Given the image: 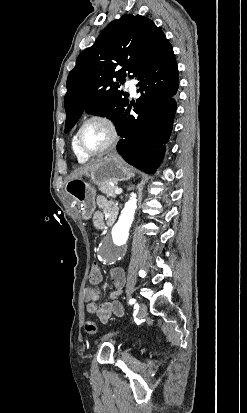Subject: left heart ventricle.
<instances>
[{"label": "left heart ventricle", "instance_id": "b2bd125f", "mask_svg": "<svg viewBox=\"0 0 247 413\" xmlns=\"http://www.w3.org/2000/svg\"><path fill=\"white\" fill-rule=\"evenodd\" d=\"M110 129L102 124L92 123L85 127L80 135L82 146L89 151L102 148L110 139Z\"/></svg>", "mask_w": 247, "mask_h": 413}]
</instances>
